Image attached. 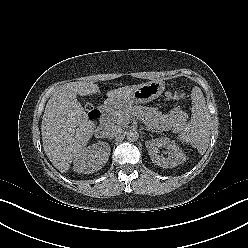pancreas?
Returning a JSON list of instances; mask_svg holds the SVG:
<instances>
[{
  "label": "pancreas",
  "instance_id": "pancreas-1",
  "mask_svg": "<svg viewBox=\"0 0 248 248\" xmlns=\"http://www.w3.org/2000/svg\"><path fill=\"white\" fill-rule=\"evenodd\" d=\"M132 116L139 117L148 127V130L156 132L171 128L177 131L183 127L187 118L186 113L180 110H173L170 114L163 115L157 108L130 105L111 112L108 121L110 124L126 126Z\"/></svg>",
  "mask_w": 248,
  "mask_h": 248
}]
</instances>
